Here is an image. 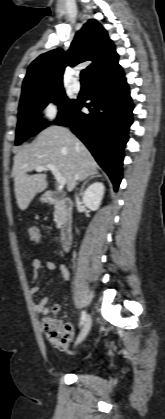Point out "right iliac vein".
Wrapping results in <instances>:
<instances>
[{
    "instance_id": "obj_1",
    "label": "right iliac vein",
    "mask_w": 165,
    "mask_h": 419,
    "mask_svg": "<svg viewBox=\"0 0 165 419\" xmlns=\"http://www.w3.org/2000/svg\"><path fill=\"white\" fill-rule=\"evenodd\" d=\"M91 326H92V319H91V316L88 315L84 321L83 328L81 329V332L77 338L76 345L81 343L86 338V336L88 335L91 329Z\"/></svg>"
}]
</instances>
